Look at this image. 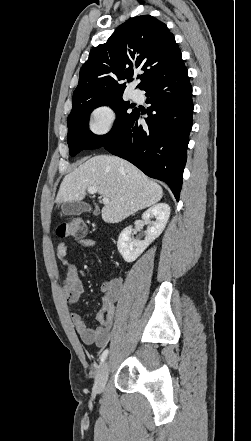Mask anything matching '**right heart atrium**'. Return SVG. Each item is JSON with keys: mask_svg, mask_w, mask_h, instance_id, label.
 <instances>
[{"mask_svg": "<svg viewBox=\"0 0 251 441\" xmlns=\"http://www.w3.org/2000/svg\"><path fill=\"white\" fill-rule=\"evenodd\" d=\"M115 112L109 105H99L89 114L88 129L94 135H105L113 127Z\"/></svg>", "mask_w": 251, "mask_h": 441, "instance_id": "obj_1", "label": "right heart atrium"}]
</instances>
